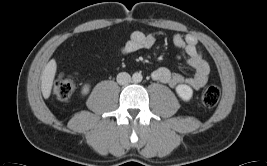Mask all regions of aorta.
<instances>
[{
	"label": "aorta",
	"instance_id": "aorta-1",
	"mask_svg": "<svg viewBox=\"0 0 267 166\" xmlns=\"http://www.w3.org/2000/svg\"><path fill=\"white\" fill-rule=\"evenodd\" d=\"M142 79H143V77H142L141 73H138V72L134 73L133 76H132V80L135 83L141 82Z\"/></svg>",
	"mask_w": 267,
	"mask_h": 166
}]
</instances>
